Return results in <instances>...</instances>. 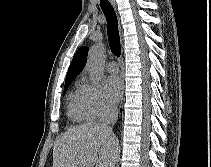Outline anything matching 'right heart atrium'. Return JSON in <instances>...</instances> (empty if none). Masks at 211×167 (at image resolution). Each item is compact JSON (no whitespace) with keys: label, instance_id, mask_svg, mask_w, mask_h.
<instances>
[{"label":"right heart atrium","instance_id":"obj_1","mask_svg":"<svg viewBox=\"0 0 211 167\" xmlns=\"http://www.w3.org/2000/svg\"><path fill=\"white\" fill-rule=\"evenodd\" d=\"M83 95L91 119L101 120L114 112V106L97 86L84 84Z\"/></svg>","mask_w":211,"mask_h":167}]
</instances>
